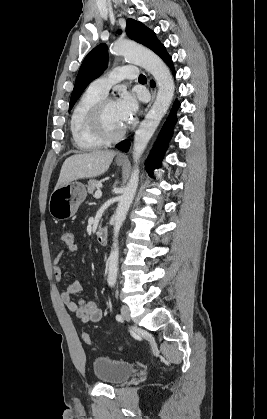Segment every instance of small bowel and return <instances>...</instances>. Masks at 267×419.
I'll list each match as a JSON object with an SVG mask.
<instances>
[{"instance_id": "obj_1", "label": "small bowel", "mask_w": 267, "mask_h": 419, "mask_svg": "<svg viewBox=\"0 0 267 419\" xmlns=\"http://www.w3.org/2000/svg\"><path fill=\"white\" fill-rule=\"evenodd\" d=\"M78 251V246L75 244L73 247H66L60 250L53 260V272L57 281L63 277V267L61 263L62 257L66 255H74ZM82 291V285L79 281L71 282L67 289L61 294V301L64 306L83 323L99 322L102 319V310L97 306L94 301H86L79 299L74 301L72 296Z\"/></svg>"}]
</instances>
